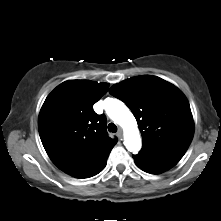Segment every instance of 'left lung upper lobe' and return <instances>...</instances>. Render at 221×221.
<instances>
[{
  "label": "left lung upper lobe",
  "instance_id": "left-lung-upper-lobe-1",
  "mask_svg": "<svg viewBox=\"0 0 221 221\" xmlns=\"http://www.w3.org/2000/svg\"><path fill=\"white\" fill-rule=\"evenodd\" d=\"M110 94L133 112L143 138L142 154H184L193 138L194 121L185 95L173 84L144 75L114 84Z\"/></svg>",
  "mask_w": 221,
  "mask_h": 221
}]
</instances>
